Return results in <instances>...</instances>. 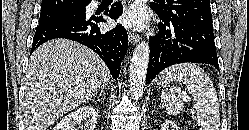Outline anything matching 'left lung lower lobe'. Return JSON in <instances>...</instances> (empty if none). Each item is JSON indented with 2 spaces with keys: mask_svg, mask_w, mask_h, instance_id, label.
<instances>
[{
  "mask_svg": "<svg viewBox=\"0 0 249 130\" xmlns=\"http://www.w3.org/2000/svg\"><path fill=\"white\" fill-rule=\"evenodd\" d=\"M159 17L164 25L159 26V33L155 37H150L146 83L163 69L179 63H205L219 70L213 28Z\"/></svg>",
  "mask_w": 249,
  "mask_h": 130,
  "instance_id": "0a47b994",
  "label": "left lung lower lobe"
}]
</instances>
